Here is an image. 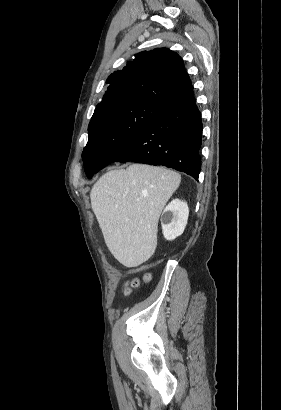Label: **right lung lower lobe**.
Masks as SVG:
<instances>
[{"instance_id":"right-lung-lower-lobe-1","label":"right lung lower lobe","mask_w":281,"mask_h":410,"mask_svg":"<svg viewBox=\"0 0 281 410\" xmlns=\"http://www.w3.org/2000/svg\"><path fill=\"white\" fill-rule=\"evenodd\" d=\"M202 120L193 92L164 108L113 162L163 165L198 180Z\"/></svg>"}]
</instances>
